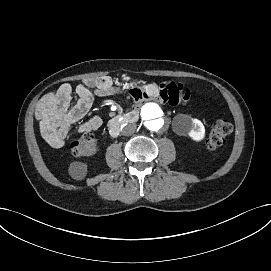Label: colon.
<instances>
[{
    "label": "colon",
    "instance_id": "obj_1",
    "mask_svg": "<svg viewBox=\"0 0 271 271\" xmlns=\"http://www.w3.org/2000/svg\"><path fill=\"white\" fill-rule=\"evenodd\" d=\"M232 124L224 118L217 120L212 127L207 139L208 148H217L223 145L228 135L232 132ZM71 153L74 157L92 156L97 153V140L93 133H85L79 139L74 141L70 146Z\"/></svg>",
    "mask_w": 271,
    "mask_h": 271
}]
</instances>
